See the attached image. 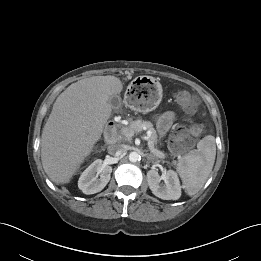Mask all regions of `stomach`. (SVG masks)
Returning <instances> with one entry per match:
<instances>
[{
	"instance_id": "obj_1",
	"label": "stomach",
	"mask_w": 261,
	"mask_h": 261,
	"mask_svg": "<svg viewBox=\"0 0 261 261\" xmlns=\"http://www.w3.org/2000/svg\"><path fill=\"white\" fill-rule=\"evenodd\" d=\"M162 96V85L157 79L141 76L129 85L125 103L132 110L146 114L158 107Z\"/></svg>"
}]
</instances>
